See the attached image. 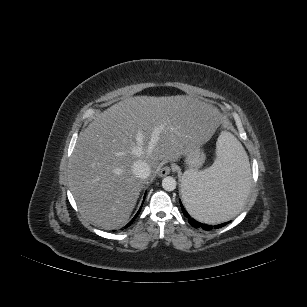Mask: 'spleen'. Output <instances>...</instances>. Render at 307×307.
<instances>
[{
    "label": "spleen",
    "mask_w": 307,
    "mask_h": 307,
    "mask_svg": "<svg viewBox=\"0 0 307 307\" xmlns=\"http://www.w3.org/2000/svg\"><path fill=\"white\" fill-rule=\"evenodd\" d=\"M209 159V168L184 173L182 199L195 219L216 224L233 218L246 207L250 165L241 144L227 132L213 143Z\"/></svg>",
    "instance_id": "spleen-1"
}]
</instances>
